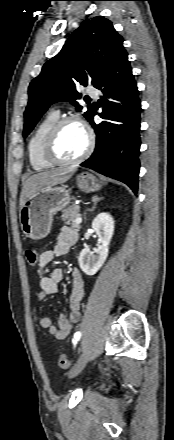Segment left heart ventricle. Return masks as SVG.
Masks as SVG:
<instances>
[{
  "mask_svg": "<svg viewBox=\"0 0 174 440\" xmlns=\"http://www.w3.org/2000/svg\"><path fill=\"white\" fill-rule=\"evenodd\" d=\"M87 135L77 123L71 122L63 126L57 142L56 151L60 158L71 160L78 157L86 148Z\"/></svg>",
  "mask_w": 174,
  "mask_h": 440,
  "instance_id": "b2bd125f",
  "label": "left heart ventricle"
}]
</instances>
